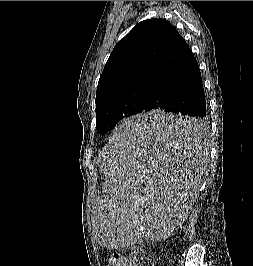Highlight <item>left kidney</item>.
Returning a JSON list of instances; mask_svg holds the SVG:
<instances>
[{
	"mask_svg": "<svg viewBox=\"0 0 253 266\" xmlns=\"http://www.w3.org/2000/svg\"><path fill=\"white\" fill-rule=\"evenodd\" d=\"M189 205H191V202L189 201L188 203H186L184 206H183V208H185V209H189Z\"/></svg>",
	"mask_w": 253,
	"mask_h": 266,
	"instance_id": "5707ae66",
	"label": "left kidney"
}]
</instances>
